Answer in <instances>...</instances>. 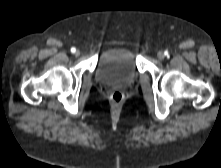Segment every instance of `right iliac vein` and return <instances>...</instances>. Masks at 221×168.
I'll use <instances>...</instances> for the list:
<instances>
[{
    "instance_id": "1",
    "label": "right iliac vein",
    "mask_w": 221,
    "mask_h": 168,
    "mask_svg": "<svg viewBox=\"0 0 221 168\" xmlns=\"http://www.w3.org/2000/svg\"><path fill=\"white\" fill-rule=\"evenodd\" d=\"M75 55H76V56H79V55H80V51L77 50V51L75 52Z\"/></svg>"
}]
</instances>
